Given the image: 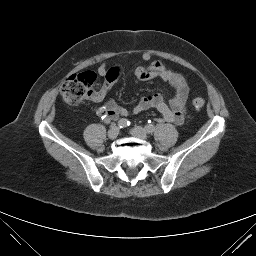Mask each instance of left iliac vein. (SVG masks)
I'll return each mask as SVG.
<instances>
[{
	"instance_id": "4c4485c4",
	"label": "left iliac vein",
	"mask_w": 256,
	"mask_h": 256,
	"mask_svg": "<svg viewBox=\"0 0 256 256\" xmlns=\"http://www.w3.org/2000/svg\"><path fill=\"white\" fill-rule=\"evenodd\" d=\"M130 133L134 137H137L142 140H147V138H148L146 130L140 126H137V127H134L133 129H131Z\"/></svg>"
}]
</instances>
